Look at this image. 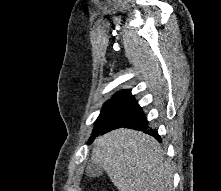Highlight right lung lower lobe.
I'll list each match as a JSON object with an SVG mask.
<instances>
[{
	"instance_id": "obj_1",
	"label": "right lung lower lobe",
	"mask_w": 221,
	"mask_h": 191,
	"mask_svg": "<svg viewBox=\"0 0 221 191\" xmlns=\"http://www.w3.org/2000/svg\"><path fill=\"white\" fill-rule=\"evenodd\" d=\"M148 124L149 122L142 108L139 106L134 96L128 93L113 105L112 109L102 122L100 132L96 136L99 134H105L117 128L125 127L143 131L161 142L157 131L149 129ZM94 138L89 140L88 143L91 144Z\"/></svg>"
}]
</instances>
